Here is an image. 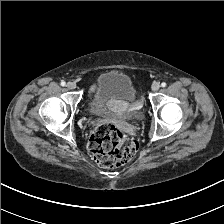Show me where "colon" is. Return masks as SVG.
<instances>
[{"instance_id":"obj_1","label":"colon","mask_w":224,"mask_h":224,"mask_svg":"<svg viewBox=\"0 0 224 224\" xmlns=\"http://www.w3.org/2000/svg\"><path fill=\"white\" fill-rule=\"evenodd\" d=\"M88 150L100 166L114 168L128 163L137 153V142L113 124H98L89 140Z\"/></svg>"}]
</instances>
